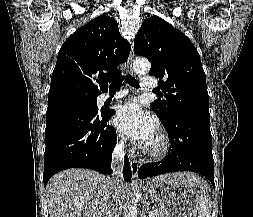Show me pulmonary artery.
I'll list each match as a JSON object with an SVG mask.
<instances>
[{
    "label": "pulmonary artery",
    "mask_w": 253,
    "mask_h": 217,
    "mask_svg": "<svg viewBox=\"0 0 253 217\" xmlns=\"http://www.w3.org/2000/svg\"><path fill=\"white\" fill-rule=\"evenodd\" d=\"M141 85L145 89H153L157 86V83L152 79V77L144 76L141 79ZM126 95V91H119L113 96H110L109 94H103L100 98L102 102L108 100V99H118Z\"/></svg>",
    "instance_id": "1"
}]
</instances>
